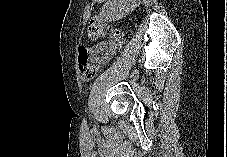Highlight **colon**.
<instances>
[{
  "label": "colon",
  "instance_id": "1",
  "mask_svg": "<svg viewBox=\"0 0 227 157\" xmlns=\"http://www.w3.org/2000/svg\"><path fill=\"white\" fill-rule=\"evenodd\" d=\"M87 35L90 40L99 41L94 45L79 49L78 65L81 79L85 82L93 78L100 64L107 62L117 53L124 41L120 29L114 28L97 18L90 20L87 26Z\"/></svg>",
  "mask_w": 227,
  "mask_h": 157
}]
</instances>
